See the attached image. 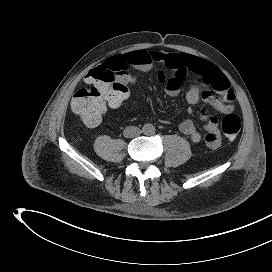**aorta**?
I'll return each mask as SVG.
<instances>
[{
  "label": "aorta",
  "instance_id": "762f6f07",
  "mask_svg": "<svg viewBox=\"0 0 272 272\" xmlns=\"http://www.w3.org/2000/svg\"><path fill=\"white\" fill-rule=\"evenodd\" d=\"M142 132L145 135H153L155 133V127L153 124L147 123V124L143 125Z\"/></svg>",
  "mask_w": 272,
  "mask_h": 272
}]
</instances>
